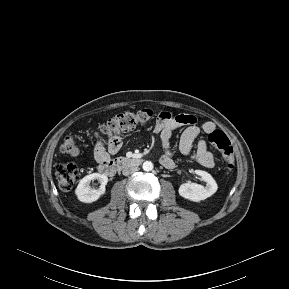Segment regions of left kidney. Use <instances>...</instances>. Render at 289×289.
Instances as JSON below:
<instances>
[{
  "mask_svg": "<svg viewBox=\"0 0 289 289\" xmlns=\"http://www.w3.org/2000/svg\"><path fill=\"white\" fill-rule=\"evenodd\" d=\"M195 174L199 175L206 186L196 183H184L179 187V195L190 201L199 202L212 196L218 189L217 183L214 178L206 171L195 170Z\"/></svg>",
  "mask_w": 289,
  "mask_h": 289,
  "instance_id": "5707ae66",
  "label": "left kidney"
}]
</instances>
